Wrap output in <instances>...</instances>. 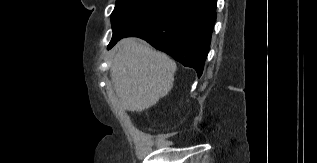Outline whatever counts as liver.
<instances>
[{
    "mask_svg": "<svg viewBox=\"0 0 317 163\" xmlns=\"http://www.w3.org/2000/svg\"><path fill=\"white\" fill-rule=\"evenodd\" d=\"M175 71L176 63L165 53L134 38L122 39L110 71L118 103L128 111L148 109L172 89Z\"/></svg>",
    "mask_w": 317,
    "mask_h": 163,
    "instance_id": "6515ba94",
    "label": "liver"
}]
</instances>
